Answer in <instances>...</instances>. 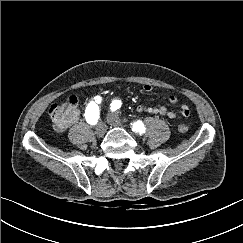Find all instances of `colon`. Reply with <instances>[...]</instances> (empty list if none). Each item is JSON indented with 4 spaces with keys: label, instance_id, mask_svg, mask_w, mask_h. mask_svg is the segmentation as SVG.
I'll return each mask as SVG.
<instances>
[{
    "label": "colon",
    "instance_id": "obj_1",
    "mask_svg": "<svg viewBox=\"0 0 243 243\" xmlns=\"http://www.w3.org/2000/svg\"><path fill=\"white\" fill-rule=\"evenodd\" d=\"M78 100L75 96H71L64 106L57 104L53 105L50 110V115L55 129L61 131L66 129L70 124L78 118ZM189 126L186 123H180L178 130L182 133L187 132Z\"/></svg>",
    "mask_w": 243,
    "mask_h": 243
}]
</instances>
